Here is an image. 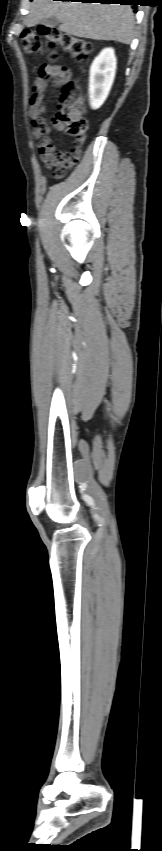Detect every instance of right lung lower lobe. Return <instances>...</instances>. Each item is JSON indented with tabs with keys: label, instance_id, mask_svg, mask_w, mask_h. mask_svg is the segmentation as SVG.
<instances>
[{
	"label": "right lung lower lobe",
	"instance_id": "obj_1",
	"mask_svg": "<svg viewBox=\"0 0 162 851\" xmlns=\"http://www.w3.org/2000/svg\"><path fill=\"white\" fill-rule=\"evenodd\" d=\"M62 1H74V0H62ZM81 2H98L102 4H121V5H135L138 0H78Z\"/></svg>",
	"mask_w": 162,
	"mask_h": 851
}]
</instances>
